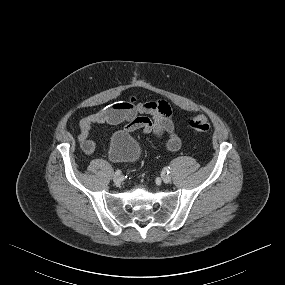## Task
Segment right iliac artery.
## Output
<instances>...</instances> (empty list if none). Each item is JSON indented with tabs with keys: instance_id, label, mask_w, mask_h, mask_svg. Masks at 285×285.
<instances>
[{
	"instance_id": "1",
	"label": "right iliac artery",
	"mask_w": 285,
	"mask_h": 285,
	"mask_svg": "<svg viewBox=\"0 0 285 285\" xmlns=\"http://www.w3.org/2000/svg\"><path fill=\"white\" fill-rule=\"evenodd\" d=\"M115 174L116 175H120L121 174V170H116Z\"/></svg>"
}]
</instances>
